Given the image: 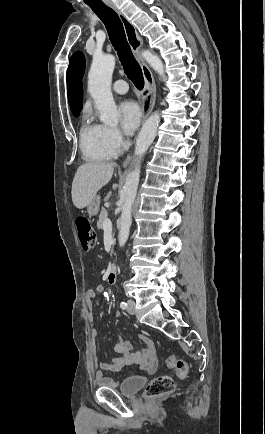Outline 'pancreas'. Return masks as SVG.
I'll use <instances>...</instances> for the list:
<instances>
[{"label": "pancreas", "instance_id": "pancreas-1", "mask_svg": "<svg viewBox=\"0 0 265 434\" xmlns=\"http://www.w3.org/2000/svg\"><path fill=\"white\" fill-rule=\"evenodd\" d=\"M107 216H108L107 210H104V208H102V210L100 212L99 220L97 222L98 230H103V224H104Z\"/></svg>", "mask_w": 265, "mask_h": 434}]
</instances>
